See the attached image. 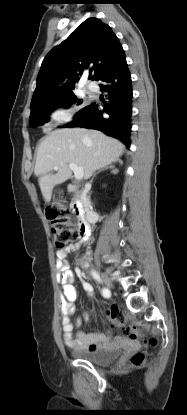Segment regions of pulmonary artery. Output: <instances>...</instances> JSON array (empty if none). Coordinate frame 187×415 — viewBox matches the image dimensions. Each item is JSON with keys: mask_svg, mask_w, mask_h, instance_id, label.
Returning a JSON list of instances; mask_svg holds the SVG:
<instances>
[{"mask_svg": "<svg viewBox=\"0 0 187 415\" xmlns=\"http://www.w3.org/2000/svg\"><path fill=\"white\" fill-rule=\"evenodd\" d=\"M86 89H87L88 92H94L95 91V86L93 84H87Z\"/></svg>", "mask_w": 187, "mask_h": 415, "instance_id": "1", "label": "pulmonary artery"}]
</instances>
